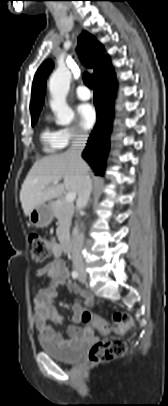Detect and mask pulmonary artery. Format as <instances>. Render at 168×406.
Here are the masks:
<instances>
[{
    "instance_id": "1",
    "label": "pulmonary artery",
    "mask_w": 168,
    "mask_h": 406,
    "mask_svg": "<svg viewBox=\"0 0 168 406\" xmlns=\"http://www.w3.org/2000/svg\"><path fill=\"white\" fill-rule=\"evenodd\" d=\"M76 96L78 99L86 101V100H89L92 95H91L90 90L87 87L79 86L76 89Z\"/></svg>"
}]
</instances>
